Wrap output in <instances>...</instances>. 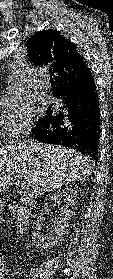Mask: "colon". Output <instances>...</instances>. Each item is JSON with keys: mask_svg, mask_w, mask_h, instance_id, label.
<instances>
[{"mask_svg": "<svg viewBox=\"0 0 113 279\" xmlns=\"http://www.w3.org/2000/svg\"><path fill=\"white\" fill-rule=\"evenodd\" d=\"M3 252H4L3 248L0 247V264H1V260L3 259Z\"/></svg>", "mask_w": 113, "mask_h": 279, "instance_id": "1", "label": "colon"}]
</instances>
